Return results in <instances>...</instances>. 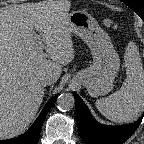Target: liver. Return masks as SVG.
Listing matches in <instances>:
<instances>
[{"label":"liver","instance_id":"liver-1","mask_svg":"<svg viewBox=\"0 0 144 144\" xmlns=\"http://www.w3.org/2000/svg\"><path fill=\"white\" fill-rule=\"evenodd\" d=\"M70 6L68 0H48L0 11V138L29 126L44 97L41 78L57 81L62 65L74 59Z\"/></svg>","mask_w":144,"mask_h":144}]
</instances>
